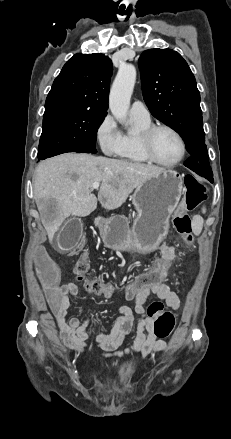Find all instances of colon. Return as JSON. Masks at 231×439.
Returning a JSON list of instances; mask_svg holds the SVG:
<instances>
[{"label": "colon", "instance_id": "obj_1", "mask_svg": "<svg viewBox=\"0 0 231 439\" xmlns=\"http://www.w3.org/2000/svg\"><path fill=\"white\" fill-rule=\"evenodd\" d=\"M184 186L186 193L184 199L177 209L173 224L176 231L183 237L188 244L192 242L193 223L188 212L195 209L205 198V186L192 175L184 177ZM88 238L81 235L76 241L75 246L82 249L87 243ZM36 257L37 274L41 278L40 286L45 289L48 298V313H60L64 307V295L58 293V283L60 274L58 269L49 263V251L43 246L37 248ZM176 262L174 257L153 259L148 268L139 271V276L134 277L124 289L125 298H136L142 287L149 286L151 283H168V273L171 272L173 264ZM90 266L85 257L80 258L73 269L78 280L84 281L86 289L94 294L113 296L117 289L113 283L106 282L101 278L86 279ZM149 295H154L153 292ZM175 318L171 312L161 310L154 318L153 332L158 338L167 337L173 330Z\"/></svg>", "mask_w": 231, "mask_h": 439}]
</instances>
